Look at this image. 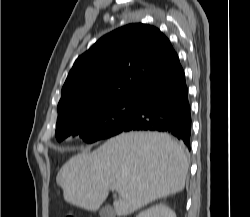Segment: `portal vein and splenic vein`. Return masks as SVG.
I'll return each mask as SVG.
<instances>
[{
  "label": "portal vein and splenic vein",
  "instance_id": "1",
  "mask_svg": "<svg viewBox=\"0 0 250 217\" xmlns=\"http://www.w3.org/2000/svg\"><path fill=\"white\" fill-rule=\"evenodd\" d=\"M110 189H111L112 191H114V190H115V187L112 186Z\"/></svg>",
  "mask_w": 250,
  "mask_h": 217
}]
</instances>
